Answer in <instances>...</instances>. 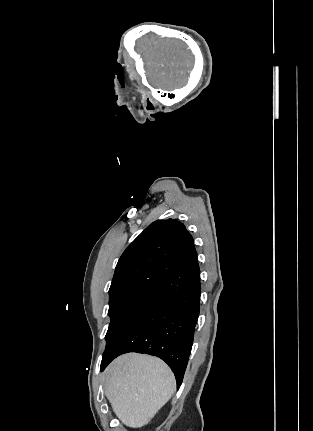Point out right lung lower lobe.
<instances>
[{
	"label": "right lung lower lobe",
	"instance_id": "right-lung-lower-lobe-1",
	"mask_svg": "<svg viewBox=\"0 0 313 431\" xmlns=\"http://www.w3.org/2000/svg\"><path fill=\"white\" fill-rule=\"evenodd\" d=\"M200 294V269L195 251L147 295L106 344L101 370L124 353L154 355L170 366L179 388L192 349Z\"/></svg>",
	"mask_w": 313,
	"mask_h": 431
}]
</instances>
